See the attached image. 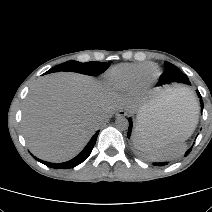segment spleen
Segmentation results:
<instances>
[{"mask_svg": "<svg viewBox=\"0 0 212 212\" xmlns=\"http://www.w3.org/2000/svg\"><path fill=\"white\" fill-rule=\"evenodd\" d=\"M165 94L176 99L189 112H197L198 105L195 95L189 89L175 88L168 89ZM151 119V116H137V126L134 133L135 144L150 159L169 160L183 154L186 149L184 144L185 137L177 133L162 135L155 130H149L145 126Z\"/></svg>", "mask_w": 212, "mask_h": 212, "instance_id": "obj_1", "label": "spleen"}]
</instances>
